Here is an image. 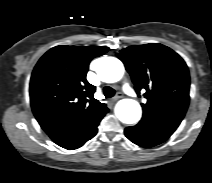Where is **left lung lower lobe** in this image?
<instances>
[{
	"instance_id": "left-lung-lower-lobe-1",
	"label": "left lung lower lobe",
	"mask_w": 212,
	"mask_h": 183,
	"mask_svg": "<svg viewBox=\"0 0 212 183\" xmlns=\"http://www.w3.org/2000/svg\"><path fill=\"white\" fill-rule=\"evenodd\" d=\"M177 127L142 118L132 127L125 129L126 137L141 147H153L168 139Z\"/></svg>"
}]
</instances>
